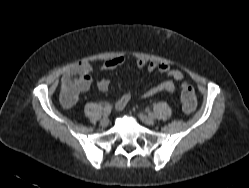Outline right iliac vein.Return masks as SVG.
Returning <instances> with one entry per match:
<instances>
[{
  "mask_svg": "<svg viewBox=\"0 0 249 188\" xmlns=\"http://www.w3.org/2000/svg\"><path fill=\"white\" fill-rule=\"evenodd\" d=\"M109 122H110L109 118L104 117V118L100 121V124H101V126L106 127V126L109 124Z\"/></svg>",
  "mask_w": 249,
  "mask_h": 188,
  "instance_id": "63e3f726",
  "label": "right iliac vein"
}]
</instances>
